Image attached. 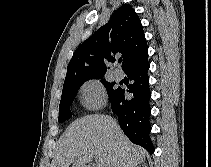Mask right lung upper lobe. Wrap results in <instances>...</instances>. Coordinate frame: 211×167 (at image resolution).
I'll return each instance as SVG.
<instances>
[{
	"label": "right lung upper lobe",
	"mask_w": 211,
	"mask_h": 167,
	"mask_svg": "<svg viewBox=\"0 0 211 167\" xmlns=\"http://www.w3.org/2000/svg\"><path fill=\"white\" fill-rule=\"evenodd\" d=\"M121 54L122 69L148 55V46L140 19L130 5H122L109 22L99 28L75 51L67 68L64 84L87 77L104 76L105 63Z\"/></svg>",
	"instance_id": "right-lung-upper-lobe-1"
}]
</instances>
